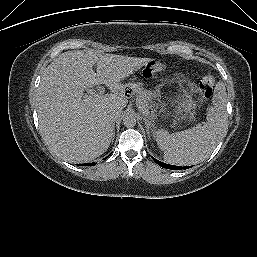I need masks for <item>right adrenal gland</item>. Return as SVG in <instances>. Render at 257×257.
<instances>
[{
    "label": "right adrenal gland",
    "instance_id": "obj_1",
    "mask_svg": "<svg viewBox=\"0 0 257 257\" xmlns=\"http://www.w3.org/2000/svg\"><path fill=\"white\" fill-rule=\"evenodd\" d=\"M114 138H115V129H114V131H113L112 142H113Z\"/></svg>",
    "mask_w": 257,
    "mask_h": 257
}]
</instances>
